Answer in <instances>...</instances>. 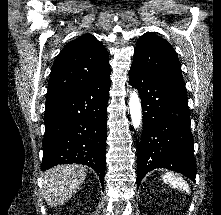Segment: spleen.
Here are the masks:
<instances>
[{
  "label": "spleen",
  "mask_w": 221,
  "mask_h": 215,
  "mask_svg": "<svg viewBox=\"0 0 221 215\" xmlns=\"http://www.w3.org/2000/svg\"><path fill=\"white\" fill-rule=\"evenodd\" d=\"M162 179L165 183L169 184L173 188L182 190L187 193L190 191L187 182L183 180L181 177L174 175L173 173H165L162 176Z\"/></svg>",
  "instance_id": "3e777b00"
}]
</instances>
